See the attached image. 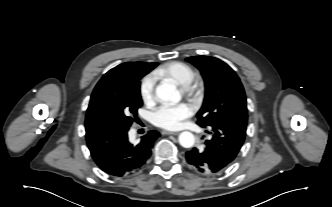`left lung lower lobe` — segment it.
<instances>
[{"instance_id":"obj_1","label":"left lung lower lobe","mask_w":332,"mask_h":207,"mask_svg":"<svg viewBox=\"0 0 332 207\" xmlns=\"http://www.w3.org/2000/svg\"><path fill=\"white\" fill-rule=\"evenodd\" d=\"M208 129L212 138L205 141L204 148L188 151L186 159L195 171L215 175L223 172L236 158L245 140L246 126L231 123Z\"/></svg>"}]
</instances>
